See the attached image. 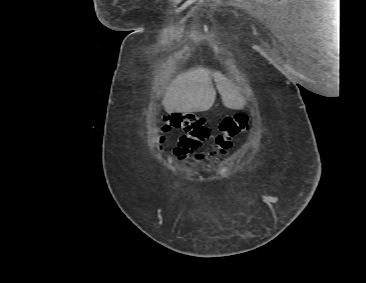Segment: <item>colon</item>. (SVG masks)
I'll return each mask as SVG.
<instances>
[{
	"label": "colon",
	"instance_id": "1",
	"mask_svg": "<svg viewBox=\"0 0 366 283\" xmlns=\"http://www.w3.org/2000/svg\"><path fill=\"white\" fill-rule=\"evenodd\" d=\"M248 127V118L244 113L224 118L219 125V133L215 137L214 149L210 155L217 154L222 146L232 144V140ZM161 129L165 132L172 129L184 131L174 148L175 156L181 160L193 155L210 135L204 119L193 113L166 115L162 118Z\"/></svg>",
	"mask_w": 366,
	"mask_h": 283
}]
</instances>
